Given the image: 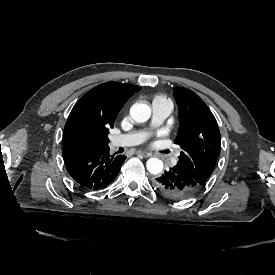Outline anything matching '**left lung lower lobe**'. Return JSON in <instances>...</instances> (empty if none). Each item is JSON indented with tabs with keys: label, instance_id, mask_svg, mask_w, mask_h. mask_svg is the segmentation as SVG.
Segmentation results:
<instances>
[{
	"label": "left lung lower lobe",
	"instance_id": "left-lung-lower-lobe-1",
	"mask_svg": "<svg viewBox=\"0 0 275 275\" xmlns=\"http://www.w3.org/2000/svg\"><path fill=\"white\" fill-rule=\"evenodd\" d=\"M153 185L158 192L173 200L190 198L203 186L178 165L157 177Z\"/></svg>",
	"mask_w": 275,
	"mask_h": 275
}]
</instances>
